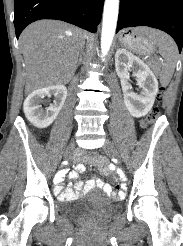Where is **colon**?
I'll return each mask as SVG.
<instances>
[{
  "label": "colon",
  "mask_w": 183,
  "mask_h": 246,
  "mask_svg": "<svg viewBox=\"0 0 183 246\" xmlns=\"http://www.w3.org/2000/svg\"><path fill=\"white\" fill-rule=\"evenodd\" d=\"M163 95H164V88H160V90H159V92H158V100H162V98H163ZM158 116H159V110H158V108L156 107V108H154L151 112H150V114L148 115V117H147V120H146V122L144 123L145 125L146 124H148V123H150V122H153V121H155L157 118H158ZM89 156L90 157H98L99 156V153L98 152H95V150L94 149H89Z\"/></svg>",
  "instance_id": "obj_1"
}]
</instances>
